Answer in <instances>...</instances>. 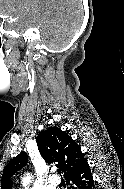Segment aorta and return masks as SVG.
Masks as SVG:
<instances>
[{
    "label": "aorta",
    "mask_w": 124,
    "mask_h": 189,
    "mask_svg": "<svg viewBox=\"0 0 124 189\" xmlns=\"http://www.w3.org/2000/svg\"><path fill=\"white\" fill-rule=\"evenodd\" d=\"M30 175H27L26 177L23 178L22 182H23V186L25 187V189H28V184L30 183Z\"/></svg>",
    "instance_id": "obj_1"
}]
</instances>
